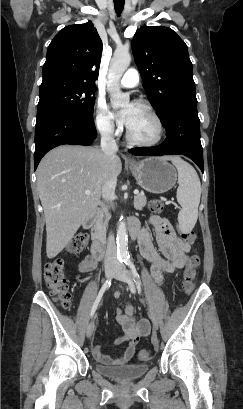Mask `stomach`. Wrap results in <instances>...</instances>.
<instances>
[{
	"label": "stomach",
	"mask_w": 243,
	"mask_h": 409,
	"mask_svg": "<svg viewBox=\"0 0 243 409\" xmlns=\"http://www.w3.org/2000/svg\"><path fill=\"white\" fill-rule=\"evenodd\" d=\"M137 183L147 192L162 194L177 181L175 168L164 157H149L129 164Z\"/></svg>",
	"instance_id": "stomach-1"
}]
</instances>
